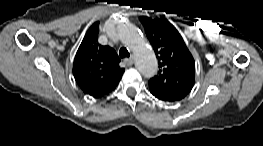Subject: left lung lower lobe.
I'll return each mask as SVG.
<instances>
[{
    "label": "left lung lower lobe",
    "instance_id": "left-lung-lower-lobe-1",
    "mask_svg": "<svg viewBox=\"0 0 263 146\" xmlns=\"http://www.w3.org/2000/svg\"><path fill=\"white\" fill-rule=\"evenodd\" d=\"M150 92L158 99L160 100H163V101H169L171 102L170 100L166 99L165 97L161 96L160 94H158L156 91L150 89Z\"/></svg>",
    "mask_w": 263,
    "mask_h": 146
}]
</instances>
